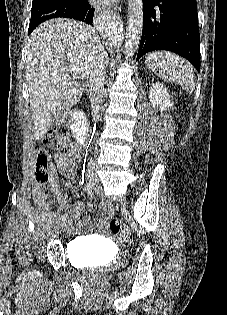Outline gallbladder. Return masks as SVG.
I'll use <instances>...</instances> for the list:
<instances>
[{
  "instance_id": "bac80fb5",
  "label": "gallbladder",
  "mask_w": 227,
  "mask_h": 315,
  "mask_svg": "<svg viewBox=\"0 0 227 315\" xmlns=\"http://www.w3.org/2000/svg\"><path fill=\"white\" fill-rule=\"evenodd\" d=\"M65 116H66V111H62L59 115L56 114L54 116V120L56 122H62L64 120Z\"/></svg>"
}]
</instances>
